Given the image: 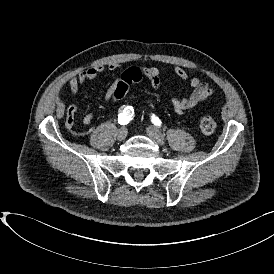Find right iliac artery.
Returning a JSON list of instances; mask_svg holds the SVG:
<instances>
[{
  "instance_id": "82829eb1",
  "label": "right iliac artery",
  "mask_w": 274,
  "mask_h": 274,
  "mask_svg": "<svg viewBox=\"0 0 274 274\" xmlns=\"http://www.w3.org/2000/svg\"><path fill=\"white\" fill-rule=\"evenodd\" d=\"M133 114H134V110L132 109V107L125 108L124 111L118 115L119 124L121 125L128 124L129 121L132 119Z\"/></svg>"
}]
</instances>
